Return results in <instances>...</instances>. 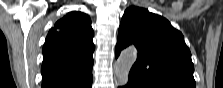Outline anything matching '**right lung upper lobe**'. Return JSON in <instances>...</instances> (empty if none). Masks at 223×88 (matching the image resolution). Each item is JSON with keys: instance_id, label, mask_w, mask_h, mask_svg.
<instances>
[{"instance_id": "1", "label": "right lung upper lobe", "mask_w": 223, "mask_h": 88, "mask_svg": "<svg viewBox=\"0 0 223 88\" xmlns=\"http://www.w3.org/2000/svg\"><path fill=\"white\" fill-rule=\"evenodd\" d=\"M93 35L90 18L82 12L56 22L43 46L42 88H84L92 81Z\"/></svg>"}]
</instances>
